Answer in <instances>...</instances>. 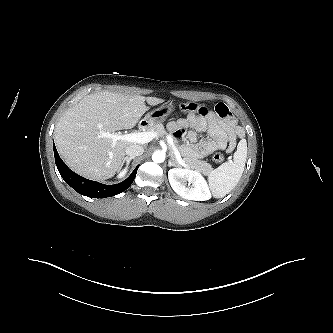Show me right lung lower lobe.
<instances>
[{"instance_id": "1", "label": "right lung lower lobe", "mask_w": 333, "mask_h": 333, "mask_svg": "<svg viewBox=\"0 0 333 333\" xmlns=\"http://www.w3.org/2000/svg\"><path fill=\"white\" fill-rule=\"evenodd\" d=\"M54 156L55 163L58 168V171L64 181L70 185L74 190H76L79 194L91 197V198H106L117 195L124 190H126L135 179L138 167L132 172V174L123 182L115 185H105L99 182L91 181L85 179L78 174L74 173L70 170L67 165L62 161L59 157L57 149L54 145Z\"/></svg>"}]
</instances>
